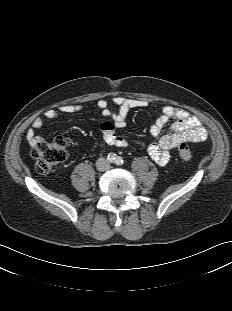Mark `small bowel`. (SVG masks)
<instances>
[{
  "instance_id": "1",
  "label": "small bowel",
  "mask_w": 232,
  "mask_h": 311,
  "mask_svg": "<svg viewBox=\"0 0 232 311\" xmlns=\"http://www.w3.org/2000/svg\"><path fill=\"white\" fill-rule=\"evenodd\" d=\"M112 105L106 99H100L96 108L102 115L112 119V123L104 122L100 128L104 141L111 146L126 147L128 141L125 136L116 132L126 126V119L131 110L147 106V102L141 99L115 96ZM84 110V106L78 104H64L57 108H50L44 112V117L49 120L57 119L62 114H74ZM174 122L169 130L162 134L164 127L171 121ZM44 125V119L37 117L32 126L26 132V139L31 147L39 141H45L38 134V130ZM150 134L159 137L156 142L149 144L148 153L151 159L158 165L164 166L170 159V150L187 142H200L207 138V130L200 119L190 112L173 106H164L154 123L150 126Z\"/></svg>"
}]
</instances>
